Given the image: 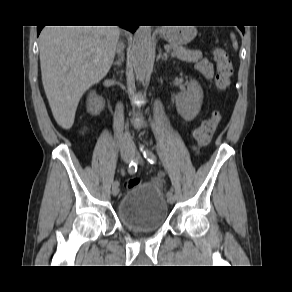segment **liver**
<instances>
[{"mask_svg": "<svg viewBox=\"0 0 292 292\" xmlns=\"http://www.w3.org/2000/svg\"><path fill=\"white\" fill-rule=\"evenodd\" d=\"M117 26H46L39 36L42 83L59 126L70 129L78 103L113 63Z\"/></svg>", "mask_w": 292, "mask_h": 292, "instance_id": "1", "label": "liver"}]
</instances>
